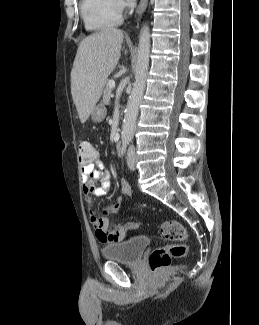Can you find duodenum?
<instances>
[{
	"mask_svg": "<svg viewBox=\"0 0 259 325\" xmlns=\"http://www.w3.org/2000/svg\"><path fill=\"white\" fill-rule=\"evenodd\" d=\"M115 147L118 153L121 152L123 147V140L122 139L117 140Z\"/></svg>",
	"mask_w": 259,
	"mask_h": 325,
	"instance_id": "410a0bca",
	"label": "duodenum"
}]
</instances>
